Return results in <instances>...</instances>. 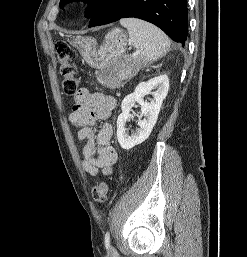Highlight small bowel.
I'll return each mask as SVG.
<instances>
[{
    "mask_svg": "<svg viewBox=\"0 0 247 257\" xmlns=\"http://www.w3.org/2000/svg\"><path fill=\"white\" fill-rule=\"evenodd\" d=\"M116 105L115 98L88 89H79L69 115L70 123L78 130V140L83 143V169L90 175L99 172L110 174L117 161V152L111 145L113 129L106 122ZM103 124L95 128L97 122Z\"/></svg>",
    "mask_w": 247,
    "mask_h": 257,
    "instance_id": "small-bowel-1",
    "label": "small bowel"
}]
</instances>
